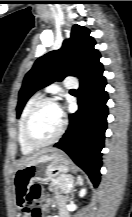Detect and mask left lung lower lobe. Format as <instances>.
Returning <instances> with one entry per match:
<instances>
[{"label":"left lung lower lobe","instance_id":"0a47b994","mask_svg":"<svg viewBox=\"0 0 132 217\" xmlns=\"http://www.w3.org/2000/svg\"><path fill=\"white\" fill-rule=\"evenodd\" d=\"M105 85L103 66L100 64L81 81L79 109L69 115V127L55 145L88 174L95 187L100 181L101 150L107 128L108 94L104 90Z\"/></svg>","mask_w":132,"mask_h":217}]
</instances>
